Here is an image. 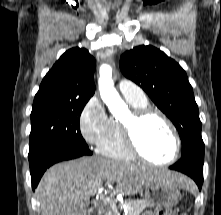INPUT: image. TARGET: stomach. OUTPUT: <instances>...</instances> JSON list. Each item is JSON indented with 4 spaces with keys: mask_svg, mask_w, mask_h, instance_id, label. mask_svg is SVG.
<instances>
[{
    "mask_svg": "<svg viewBox=\"0 0 221 215\" xmlns=\"http://www.w3.org/2000/svg\"><path fill=\"white\" fill-rule=\"evenodd\" d=\"M181 194L177 186L155 181L145 188V201L151 206L170 208L179 203Z\"/></svg>",
    "mask_w": 221,
    "mask_h": 215,
    "instance_id": "0dacf381",
    "label": "stomach"
}]
</instances>
